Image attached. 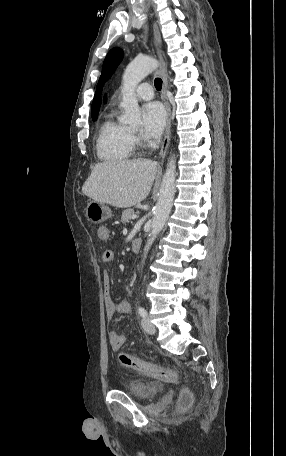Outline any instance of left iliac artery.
Segmentation results:
<instances>
[{"mask_svg": "<svg viewBox=\"0 0 286 456\" xmlns=\"http://www.w3.org/2000/svg\"><path fill=\"white\" fill-rule=\"evenodd\" d=\"M137 310L141 317L145 318L147 316V311L145 310L144 307L139 306Z\"/></svg>", "mask_w": 286, "mask_h": 456, "instance_id": "1", "label": "left iliac artery"}]
</instances>
